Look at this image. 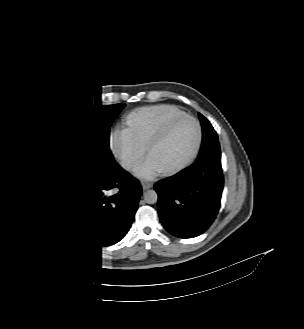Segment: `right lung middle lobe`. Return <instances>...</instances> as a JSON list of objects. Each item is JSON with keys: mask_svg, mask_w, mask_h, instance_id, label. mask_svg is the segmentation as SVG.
Listing matches in <instances>:
<instances>
[{"mask_svg": "<svg viewBox=\"0 0 304 329\" xmlns=\"http://www.w3.org/2000/svg\"><path fill=\"white\" fill-rule=\"evenodd\" d=\"M125 104L92 105L70 122L60 143V173L78 167L106 168L117 163L110 151V127Z\"/></svg>", "mask_w": 304, "mask_h": 329, "instance_id": "1", "label": "right lung middle lobe"}]
</instances>
